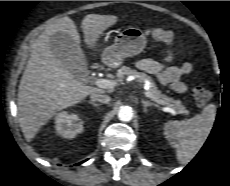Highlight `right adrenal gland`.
I'll list each match as a JSON object with an SVG mask.
<instances>
[{"label":"right adrenal gland","mask_w":230,"mask_h":186,"mask_svg":"<svg viewBox=\"0 0 230 186\" xmlns=\"http://www.w3.org/2000/svg\"><path fill=\"white\" fill-rule=\"evenodd\" d=\"M91 105H93V106H95V107H99L100 106V104H97V103H94L93 101H88Z\"/></svg>","instance_id":"right-adrenal-gland-1"}]
</instances>
